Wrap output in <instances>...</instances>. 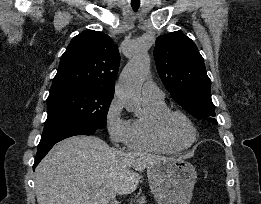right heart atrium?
Instances as JSON below:
<instances>
[{
  "label": "right heart atrium",
  "mask_w": 261,
  "mask_h": 204,
  "mask_svg": "<svg viewBox=\"0 0 261 204\" xmlns=\"http://www.w3.org/2000/svg\"><path fill=\"white\" fill-rule=\"evenodd\" d=\"M122 112V103L113 97L105 113V127L110 141L116 146L128 145L129 120L123 117Z\"/></svg>",
  "instance_id": "obj_1"
}]
</instances>
